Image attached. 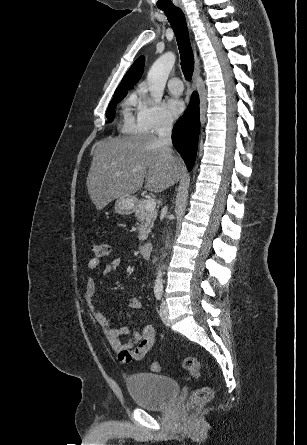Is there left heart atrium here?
<instances>
[{"mask_svg": "<svg viewBox=\"0 0 307 445\" xmlns=\"http://www.w3.org/2000/svg\"><path fill=\"white\" fill-rule=\"evenodd\" d=\"M166 106L167 109L169 111V113L173 116V117H178L180 116L185 108L184 102L180 97H169L166 100Z\"/></svg>", "mask_w": 307, "mask_h": 445, "instance_id": "1", "label": "left heart atrium"}]
</instances>
